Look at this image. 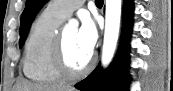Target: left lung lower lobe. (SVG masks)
<instances>
[{"label":"left lung lower lobe","instance_id":"0a47b994","mask_svg":"<svg viewBox=\"0 0 173 91\" xmlns=\"http://www.w3.org/2000/svg\"><path fill=\"white\" fill-rule=\"evenodd\" d=\"M132 0H125L124 28L119 53L113 64L102 71L100 65L75 87L81 91H127L129 39L132 29Z\"/></svg>","mask_w":173,"mask_h":91}]
</instances>
